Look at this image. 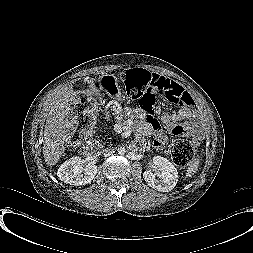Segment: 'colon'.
Listing matches in <instances>:
<instances>
[{
	"mask_svg": "<svg viewBox=\"0 0 253 253\" xmlns=\"http://www.w3.org/2000/svg\"><path fill=\"white\" fill-rule=\"evenodd\" d=\"M126 94L139 101L141 108L151 113L156 101L165 97L170 103L187 104L175 82L140 68L127 69L122 73ZM97 103L85 91L78 92L73 100L70 113V134L68 143L77 148L84 140L86 130L94 123ZM173 162L185 167L196 152V137L189 133L188 138L175 139L170 146Z\"/></svg>",
	"mask_w": 253,
	"mask_h": 253,
	"instance_id": "1",
	"label": "colon"
}]
</instances>
